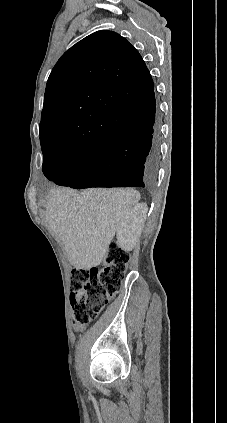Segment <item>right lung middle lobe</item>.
Listing matches in <instances>:
<instances>
[{
	"label": "right lung middle lobe",
	"instance_id": "1",
	"mask_svg": "<svg viewBox=\"0 0 227 423\" xmlns=\"http://www.w3.org/2000/svg\"><path fill=\"white\" fill-rule=\"evenodd\" d=\"M43 163L74 160L81 157L86 150L64 146L53 141H41Z\"/></svg>",
	"mask_w": 227,
	"mask_h": 423
}]
</instances>
